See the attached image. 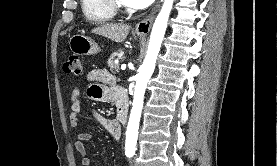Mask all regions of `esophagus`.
Wrapping results in <instances>:
<instances>
[{"instance_id": "34e87169", "label": "esophagus", "mask_w": 277, "mask_h": 166, "mask_svg": "<svg viewBox=\"0 0 277 166\" xmlns=\"http://www.w3.org/2000/svg\"><path fill=\"white\" fill-rule=\"evenodd\" d=\"M162 0L158 1L156 6L154 7L153 11L151 14L146 16L144 19H142L140 22L137 23L135 27V32L139 35H147L151 29L152 26V21L154 14L157 12L158 8L160 7V3Z\"/></svg>"}]
</instances>
